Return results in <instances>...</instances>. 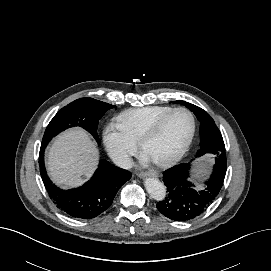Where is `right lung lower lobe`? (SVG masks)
<instances>
[{"mask_svg": "<svg viewBox=\"0 0 271 271\" xmlns=\"http://www.w3.org/2000/svg\"><path fill=\"white\" fill-rule=\"evenodd\" d=\"M40 173L46 190L59 209L74 218H95L109 208L119 188L131 178L127 170L102 159L94 176L83 186L61 190L48 178L44 166V149L39 155Z\"/></svg>", "mask_w": 271, "mask_h": 271, "instance_id": "1", "label": "right lung lower lobe"}]
</instances>
